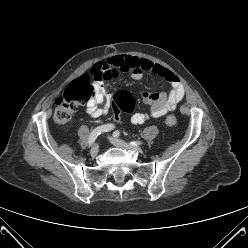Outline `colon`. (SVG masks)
I'll list each match as a JSON object with an SVG mask.
<instances>
[{"mask_svg":"<svg viewBox=\"0 0 248 248\" xmlns=\"http://www.w3.org/2000/svg\"><path fill=\"white\" fill-rule=\"evenodd\" d=\"M93 75V74H92ZM96 97V90L92 86L90 77L82 74L76 77L67 86L63 96L58 98L55 103L54 120L58 124H65L71 120L76 112L78 105L90 102ZM133 108L132 97L126 93H119L114 99L112 118L119 122L123 115L121 111H131ZM166 125L172 127L176 124L174 115H168L165 119Z\"/></svg>","mask_w":248,"mask_h":248,"instance_id":"5ec220e1","label":"colon"}]
</instances>
